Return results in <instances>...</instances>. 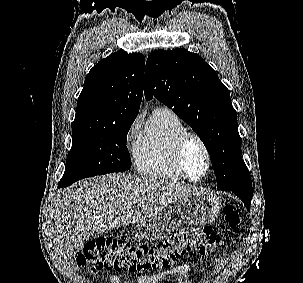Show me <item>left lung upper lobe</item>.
I'll return each instance as SVG.
<instances>
[{"label":"left lung upper lobe","mask_w":303,"mask_h":283,"mask_svg":"<svg viewBox=\"0 0 303 283\" xmlns=\"http://www.w3.org/2000/svg\"><path fill=\"white\" fill-rule=\"evenodd\" d=\"M146 68V99L154 95L197 133L210 153L217 188L252 192L241 157L237 112L216 72L184 48L152 52Z\"/></svg>","instance_id":"obj_1"}]
</instances>
